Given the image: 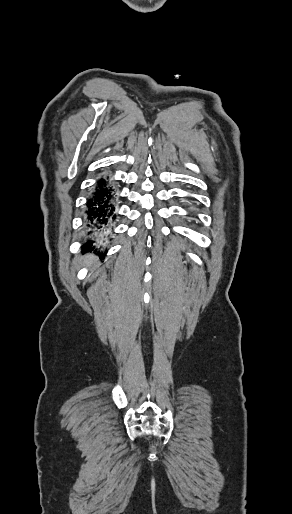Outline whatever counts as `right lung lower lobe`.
<instances>
[{
    "label": "right lung lower lobe",
    "mask_w": 292,
    "mask_h": 514,
    "mask_svg": "<svg viewBox=\"0 0 292 514\" xmlns=\"http://www.w3.org/2000/svg\"><path fill=\"white\" fill-rule=\"evenodd\" d=\"M116 194L115 188L109 177L100 178L86 202V226L88 228L89 239L83 248L94 249L96 242L93 237L102 232L109 226L111 220L115 218Z\"/></svg>",
    "instance_id": "98d812e1"
}]
</instances>
